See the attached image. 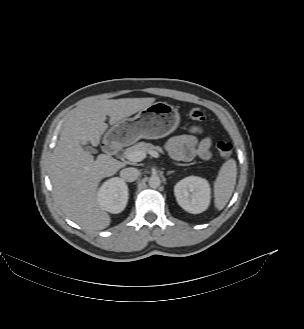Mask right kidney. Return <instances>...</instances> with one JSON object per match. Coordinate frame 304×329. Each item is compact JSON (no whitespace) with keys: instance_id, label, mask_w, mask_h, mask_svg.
<instances>
[{"instance_id":"obj_1","label":"right kidney","mask_w":304,"mask_h":329,"mask_svg":"<svg viewBox=\"0 0 304 329\" xmlns=\"http://www.w3.org/2000/svg\"><path fill=\"white\" fill-rule=\"evenodd\" d=\"M97 200L100 207L110 213H120L128 202V187L123 179L111 178L99 188Z\"/></svg>"}]
</instances>
